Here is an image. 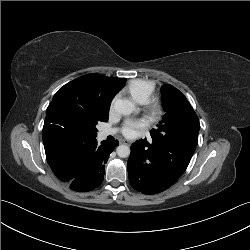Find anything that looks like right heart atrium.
<instances>
[{
	"mask_svg": "<svg viewBox=\"0 0 250 250\" xmlns=\"http://www.w3.org/2000/svg\"><path fill=\"white\" fill-rule=\"evenodd\" d=\"M114 102H115V99L111 103V109L113 108Z\"/></svg>",
	"mask_w": 250,
	"mask_h": 250,
	"instance_id": "obj_1",
	"label": "right heart atrium"
}]
</instances>
